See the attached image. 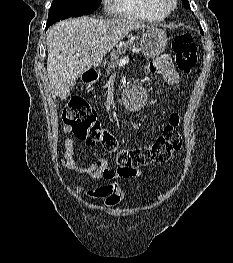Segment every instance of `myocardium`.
Returning <instances> with one entry per match:
<instances>
[{"instance_id": "f54148a6", "label": "myocardium", "mask_w": 233, "mask_h": 263, "mask_svg": "<svg viewBox=\"0 0 233 263\" xmlns=\"http://www.w3.org/2000/svg\"><path fill=\"white\" fill-rule=\"evenodd\" d=\"M159 8L168 14L172 12L176 7V0H156Z\"/></svg>"}]
</instances>
